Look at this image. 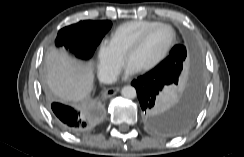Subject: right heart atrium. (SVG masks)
<instances>
[{
    "instance_id": "1",
    "label": "right heart atrium",
    "mask_w": 244,
    "mask_h": 157,
    "mask_svg": "<svg viewBox=\"0 0 244 157\" xmlns=\"http://www.w3.org/2000/svg\"><path fill=\"white\" fill-rule=\"evenodd\" d=\"M123 64L121 55L113 46L111 41L104 40L98 49V75L104 82H110L118 74Z\"/></svg>"
}]
</instances>
